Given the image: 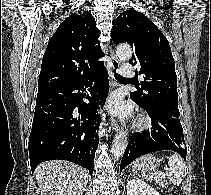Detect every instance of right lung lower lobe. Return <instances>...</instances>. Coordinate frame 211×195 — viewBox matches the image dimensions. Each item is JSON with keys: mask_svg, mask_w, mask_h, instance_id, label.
<instances>
[{"mask_svg": "<svg viewBox=\"0 0 211 195\" xmlns=\"http://www.w3.org/2000/svg\"><path fill=\"white\" fill-rule=\"evenodd\" d=\"M95 88L82 101L92 82ZM106 69L93 76L59 84L38 91L32 130L29 136V156L32 173L43 161L62 159L74 162L93 173L98 129L101 122L98 106L107 95Z\"/></svg>", "mask_w": 211, "mask_h": 195, "instance_id": "98d812e1", "label": "right lung lower lobe"}]
</instances>
